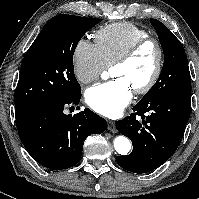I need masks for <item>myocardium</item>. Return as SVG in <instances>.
Returning <instances> with one entry per match:
<instances>
[{
	"mask_svg": "<svg viewBox=\"0 0 199 199\" xmlns=\"http://www.w3.org/2000/svg\"><path fill=\"white\" fill-rule=\"evenodd\" d=\"M147 45H152L156 51V62H155V67L154 70L147 80V82L137 88L133 89V92L135 94H146L149 91L153 89V87L156 85L158 82L162 70H163V62H164V52L163 48L160 44V42L153 37H146L143 39H140L136 42H134L118 59L114 61L112 64V68L117 67V66H122L128 64L135 56L136 54L143 49Z\"/></svg>",
	"mask_w": 199,
	"mask_h": 199,
	"instance_id": "obj_1",
	"label": "myocardium"
}]
</instances>
